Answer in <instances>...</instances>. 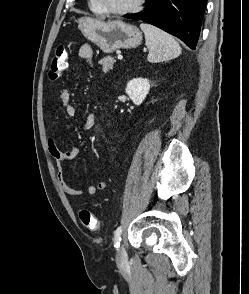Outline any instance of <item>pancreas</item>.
<instances>
[{
  "label": "pancreas",
  "mask_w": 249,
  "mask_h": 294,
  "mask_svg": "<svg viewBox=\"0 0 249 294\" xmlns=\"http://www.w3.org/2000/svg\"><path fill=\"white\" fill-rule=\"evenodd\" d=\"M115 63V60L112 56L104 57L100 64L103 66V72L107 73L108 71L113 69V65Z\"/></svg>",
  "instance_id": "pancreas-1"
}]
</instances>
